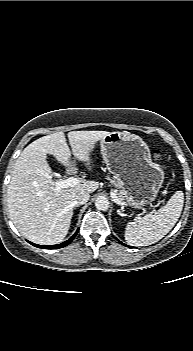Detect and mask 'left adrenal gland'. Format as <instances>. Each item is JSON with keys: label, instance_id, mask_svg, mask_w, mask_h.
<instances>
[{"label": "left adrenal gland", "instance_id": "1", "mask_svg": "<svg viewBox=\"0 0 193 351\" xmlns=\"http://www.w3.org/2000/svg\"><path fill=\"white\" fill-rule=\"evenodd\" d=\"M117 212H118V214H119V215H121V213H120V211H119V210H117Z\"/></svg>", "mask_w": 193, "mask_h": 351}]
</instances>
